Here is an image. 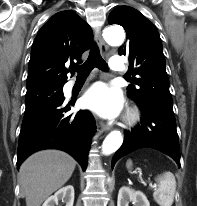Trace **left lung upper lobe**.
<instances>
[{"label":"left lung upper lobe","instance_id":"1","mask_svg":"<svg viewBox=\"0 0 197 206\" xmlns=\"http://www.w3.org/2000/svg\"><path fill=\"white\" fill-rule=\"evenodd\" d=\"M108 22L119 24L125 29L128 42L119 48L118 53L129 57V71L133 76H139L133 77L139 88L128 86V96L172 107L162 42L153 23L129 6L115 8Z\"/></svg>","mask_w":197,"mask_h":206}]
</instances>
